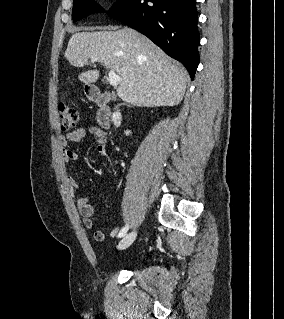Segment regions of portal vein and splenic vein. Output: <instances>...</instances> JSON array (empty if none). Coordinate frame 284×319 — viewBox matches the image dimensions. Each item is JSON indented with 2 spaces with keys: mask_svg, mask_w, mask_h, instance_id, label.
<instances>
[{
  "mask_svg": "<svg viewBox=\"0 0 284 319\" xmlns=\"http://www.w3.org/2000/svg\"><path fill=\"white\" fill-rule=\"evenodd\" d=\"M92 61L93 62H97L98 59L97 58H92ZM108 77H109V83L112 86H117L121 82V77L119 75H117L113 70L109 71Z\"/></svg>",
  "mask_w": 284,
  "mask_h": 319,
  "instance_id": "1",
  "label": "portal vein and splenic vein"
}]
</instances>
